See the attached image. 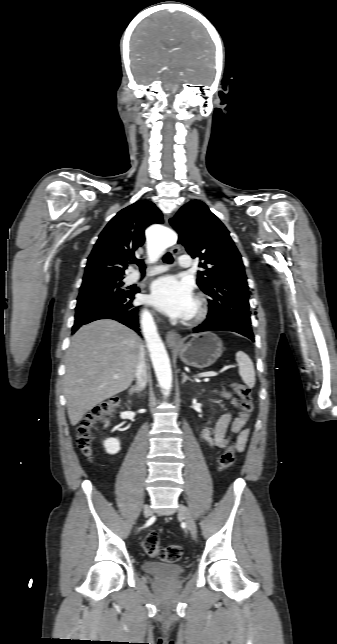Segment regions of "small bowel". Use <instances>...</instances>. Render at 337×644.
Returning a JSON list of instances; mask_svg holds the SVG:
<instances>
[{"label": "small bowel", "mask_w": 337, "mask_h": 644, "mask_svg": "<svg viewBox=\"0 0 337 644\" xmlns=\"http://www.w3.org/2000/svg\"><path fill=\"white\" fill-rule=\"evenodd\" d=\"M222 396L230 400L234 406H238L237 399L232 397L230 393L223 392ZM244 424L245 418L242 416L233 418L230 413L226 412L216 422L213 436H211L208 429L202 428L200 437L210 448H225L230 442L231 435L238 434L236 448L239 452H242L248 438V429H243Z\"/></svg>", "instance_id": "small-bowel-1"}]
</instances>
